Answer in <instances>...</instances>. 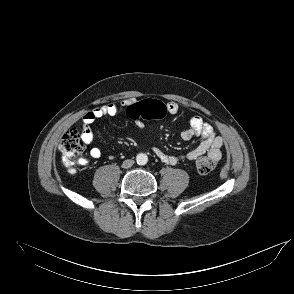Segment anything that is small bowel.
<instances>
[{
  "instance_id": "1",
  "label": "small bowel",
  "mask_w": 294,
  "mask_h": 294,
  "mask_svg": "<svg viewBox=\"0 0 294 294\" xmlns=\"http://www.w3.org/2000/svg\"><path fill=\"white\" fill-rule=\"evenodd\" d=\"M131 103V101H125L122 103V106H128ZM166 106L168 113L175 114L178 112V105L176 103L168 102ZM118 112L119 108L117 105L106 104L86 113L83 117V123L80 128L84 143L90 144L93 140V134L90 128L92 123L102 117L115 116L118 114ZM139 127L143 129L142 125H139ZM181 137L184 140H189L193 137H199L200 143L192 150L181 155H170L156 146L152 147L153 153L159 160L169 165H175L181 160H196L204 154L213 157L216 161H218L222 156V138L217 136L213 127L198 115L191 118L189 127L181 132ZM89 155L93 159H98L101 157V151L100 149L93 147L90 149ZM87 162V159L82 160V164H86Z\"/></svg>"
}]
</instances>
